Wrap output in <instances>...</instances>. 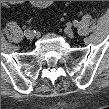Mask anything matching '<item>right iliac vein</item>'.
<instances>
[{"label":"right iliac vein","instance_id":"63e3f726","mask_svg":"<svg viewBox=\"0 0 109 109\" xmlns=\"http://www.w3.org/2000/svg\"><path fill=\"white\" fill-rule=\"evenodd\" d=\"M25 36L28 40H33L35 38V34L32 31L28 32Z\"/></svg>","mask_w":109,"mask_h":109}]
</instances>
